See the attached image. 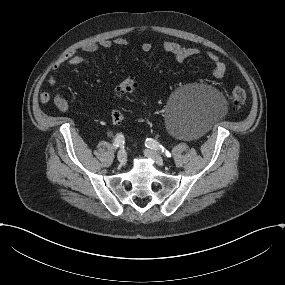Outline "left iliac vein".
Here are the masks:
<instances>
[{
  "label": "left iliac vein",
  "instance_id": "4c4485c4",
  "mask_svg": "<svg viewBox=\"0 0 285 285\" xmlns=\"http://www.w3.org/2000/svg\"><path fill=\"white\" fill-rule=\"evenodd\" d=\"M145 155L153 160L158 166L163 167L165 166L163 158L156 152L152 150H146Z\"/></svg>",
  "mask_w": 285,
  "mask_h": 285
}]
</instances>
